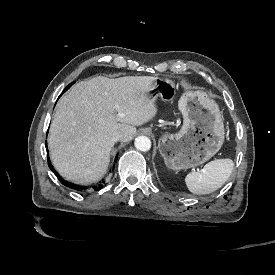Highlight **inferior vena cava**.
<instances>
[{"mask_svg": "<svg viewBox=\"0 0 275 275\" xmlns=\"http://www.w3.org/2000/svg\"><path fill=\"white\" fill-rule=\"evenodd\" d=\"M122 137H123V134L121 132L116 131L112 134L111 140L113 142H118L119 140H121Z\"/></svg>", "mask_w": 275, "mask_h": 275, "instance_id": "obj_1", "label": "inferior vena cava"}]
</instances>
